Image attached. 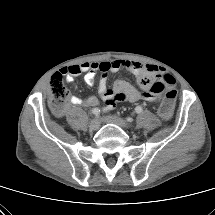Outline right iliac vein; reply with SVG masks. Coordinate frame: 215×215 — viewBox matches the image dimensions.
<instances>
[{
  "label": "right iliac vein",
  "instance_id": "obj_1",
  "mask_svg": "<svg viewBox=\"0 0 215 215\" xmlns=\"http://www.w3.org/2000/svg\"><path fill=\"white\" fill-rule=\"evenodd\" d=\"M91 130H98L100 127V122L98 119L94 118L91 120L90 125H89Z\"/></svg>",
  "mask_w": 215,
  "mask_h": 215
}]
</instances>
